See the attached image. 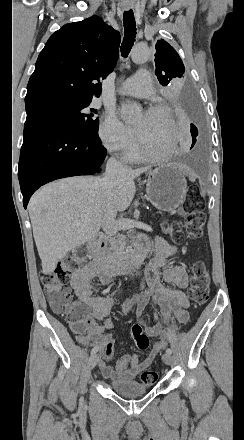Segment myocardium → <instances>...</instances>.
I'll list each match as a JSON object with an SVG mask.
<instances>
[{
	"label": "myocardium",
	"instance_id": "obj_1",
	"mask_svg": "<svg viewBox=\"0 0 244 440\" xmlns=\"http://www.w3.org/2000/svg\"><path fill=\"white\" fill-rule=\"evenodd\" d=\"M149 110H156V111H160V112H165L169 115L170 123L164 131L165 142L160 141L159 145H146V142L144 140V135L142 134L140 129L138 127H136L137 133L140 137V138H137V143H141L140 145L142 147L143 146H146V147L160 146V148L163 150V154H161L159 156L152 157V160L156 163L165 164L168 161H170L173 156V143H174V133H173L174 130H173V123H172L173 112L167 105H163V104L154 105Z\"/></svg>",
	"mask_w": 244,
	"mask_h": 440
}]
</instances>
